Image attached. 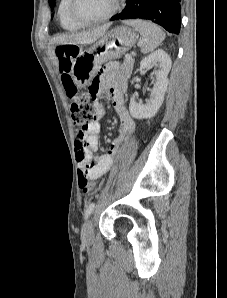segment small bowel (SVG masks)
I'll use <instances>...</instances> for the list:
<instances>
[{
    "instance_id": "obj_1",
    "label": "small bowel",
    "mask_w": 227,
    "mask_h": 298,
    "mask_svg": "<svg viewBox=\"0 0 227 298\" xmlns=\"http://www.w3.org/2000/svg\"><path fill=\"white\" fill-rule=\"evenodd\" d=\"M102 68L99 69L97 75L90 78V82H87V87L91 92L89 95L90 103L95 105V107H89L88 111L96 112V117H91L92 123L89 125H82V130H85V160H78L76 154L80 172L85 173L89 179H99L108 172L121 143L131 136L135 130V122L125 107L126 78L120 72L116 62L102 63ZM104 92L111 95L113 106L118 114L119 135L111 142L107 153L93 157V153L97 151L99 145L100 119L105 114V109L101 104Z\"/></svg>"
}]
</instances>
